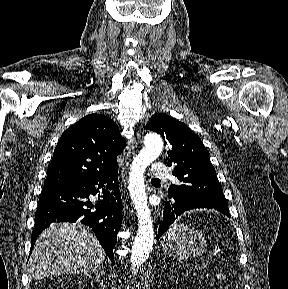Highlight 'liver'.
<instances>
[{"label":"liver","instance_id":"obj_1","mask_svg":"<svg viewBox=\"0 0 288 289\" xmlns=\"http://www.w3.org/2000/svg\"><path fill=\"white\" fill-rule=\"evenodd\" d=\"M105 253L83 224L56 223L38 237L29 259L30 279L62 274H87L104 261Z\"/></svg>","mask_w":288,"mask_h":289}]
</instances>
